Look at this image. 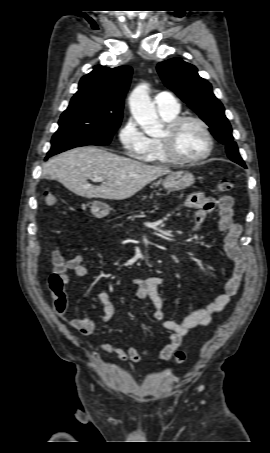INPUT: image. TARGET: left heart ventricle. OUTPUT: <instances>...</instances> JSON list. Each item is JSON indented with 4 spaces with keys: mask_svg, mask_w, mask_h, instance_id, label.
<instances>
[{
    "mask_svg": "<svg viewBox=\"0 0 270 453\" xmlns=\"http://www.w3.org/2000/svg\"><path fill=\"white\" fill-rule=\"evenodd\" d=\"M165 134V130L161 136ZM206 137L202 128L194 122L184 123L175 133L173 148L182 158H195L206 149Z\"/></svg>",
    "mask_w": 270,
    "mask_h": 453,
    "instance_id": "1",
    "label": "left heart ventricle"
}]
</instances>
